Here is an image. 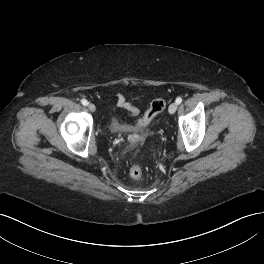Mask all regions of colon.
<instances>
[{"instance_id":"obj_1","label":"colon","mask_w":264,"mask_h":264,"mask_svg":"<svg viewBox=\"0 0 264 264\" xmlns=\"http://www.w3.org/2000/svg\"><path fill=\"white\" fill-rule=\"evenodd\" d=\"M166 106L163 99H155L151 102L149 108L139 120L138 125L145 126L149 124L159 113H161ZM129 174L133 179H139L143 176V168L140 165H133L129 170Z\"/></svg>"}]
</instances>
